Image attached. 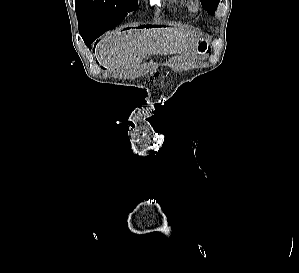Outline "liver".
Masks as SVG:
<instances>
[{
    "instance_id": "1",
    "label": "liver",
    "mask_w": 299,
    "mask_h": 273,
    "mask_svg": "<svg viewBox=\"0 0 299 273\" xmlns=\"http://www.w3.org/2000/svg\"><path fill=\"white\" fill-rule=\"evenodd\" d=\"M196 39V33L186 27L118 30L100 40L97 53L108 69H131L152 54H193Z\"/></svg>"
}]
</instances>
